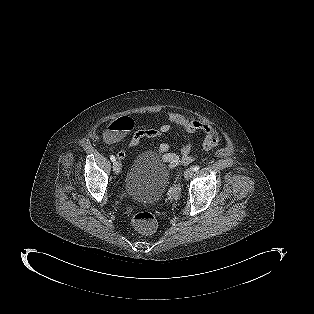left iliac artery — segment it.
Masks as SVG:
<instances>
[{"label":"left iliac artery","instance_id":"left-iliac-artery-1","mask_svg":"<svg viewBox=\"0 0 314 314\" xmlns=\"http://www.w3.org/2000/svg\"><path fill=\"white\" fill-rule=\"evenodd\" d=\"M199 169H200L199 166H194V167H193V171H195V172L198 171Z\"/></svg>","mask_w":314,"mask_h":314}]
</instances>
